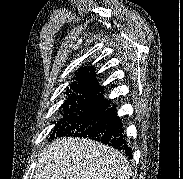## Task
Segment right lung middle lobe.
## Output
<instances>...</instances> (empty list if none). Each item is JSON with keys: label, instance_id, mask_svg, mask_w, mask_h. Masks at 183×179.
<instances>
[{"label": "right lung middle lobe", "instance_id": "1", "mask_svg": "<svg viewBox=\"0 0 183 179\" xmlns=\"http://www.w3.org/2000/svg\"><path fill=\"white\" fill-rule=\"evenodd\" d=\"M108 107L102 97H87L70 100L62 106V118L55 124L53 136H75L96 123Z\"/></svg>", "mask_w": 183, "mask_h": 179}]
</instances>
